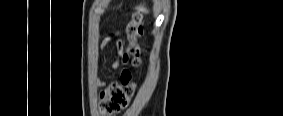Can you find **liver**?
Segmentation results:
<instances>
[{"label":"liver","instance_id":"1","mask_svg":"<svg viewBox=\"0 0 283 116\" xmlns=\"http://www.w3.org/2000/svg\"><path fill=\"white\" fill-rule=\"evenodd\" d=\"M136 9H137L138 11L148 12L147 8H146L144 5H142V4H140L139 6H137Z\"/></svg>","mask_w":283,"mask_h":116}]
</instances>
